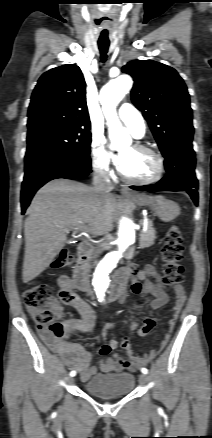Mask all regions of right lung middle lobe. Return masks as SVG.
<instances>
[{
  "label": "right lung middle lobe",
  "mask_w": 212,
  "mask_h": 438,
  "mask_svg": "<svg viewBox=\"0 0 212 438\" xmlns=\"http://www.w3.org/2000/svg\"><path fill=\"white\" fill-rule=\"evenodd\" d=\"M27 152L89 157L91 133L88 129L48 125L28 130Z\"/></svg>",
  "instance_id": "dd1d6c3e"
}]
</instances>
